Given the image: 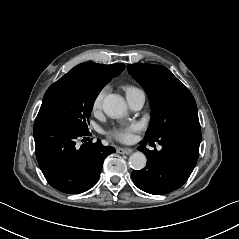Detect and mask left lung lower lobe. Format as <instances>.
<instances>
[{
    "label": "left lung lower lobe",
    "instance_id": "1",
    "mask_svg": "<svg viewBox=\"0 0 239 239\" xmlns=\"http://www.w3.org/2000/svg\"><path fill=\"white\" fill-rule=\"evenodd\" d=\"M160 151L148 150L144 145L154 143L144 139L138 147L147 157V165L131 174L134 184L141 190L162 195L180 188L189 178L199 156L200 125L185 124L163 133L157 140Z\"/></svg>",
    "mask_w": 239,
    "mask_h": 239
}]
</instances>
